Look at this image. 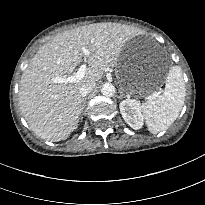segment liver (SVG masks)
Instances as JSON below:
<instances>
[{
    "label": "liver",
    "mask_w": 205,
    "mask_h": 205,
    "mask_svg": "<svg viewBox=\"0 0 205 205\" xmlns=\"http://www.w3.org/2000/svg\"><path fill=\"white\" fill-rule=\"evenodd\" d=\"M133 35V29L125 25L94 23L65 31L44 44L24 70L19 87L20 110L32 131L53 142L66 139L79 122L80 88L100 80ZM83 47L90 51L89 56L83 54ZM83 58L89 65L83 79L52 81L71 76Z\"/></svg>",
    "instance_id": "liver-1"
}]
</instances>
